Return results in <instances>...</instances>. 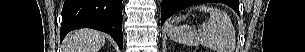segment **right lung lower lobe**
<instances>
[{"label":"right lung lower lobe","instance_id":"obj_1","mask_svg":"<svg viewBox=\"0 0 305 52\" xmlns=\"http://www.w3.org/2000/svg\"><path fill=\"white\" fill-rule=\"evenodd\" d=\"M122 0H65L60 40L74 29L93 28L108 33L122 49Z\"/></svg>","mask_w":305,"mask_h":52}]
</instances>
